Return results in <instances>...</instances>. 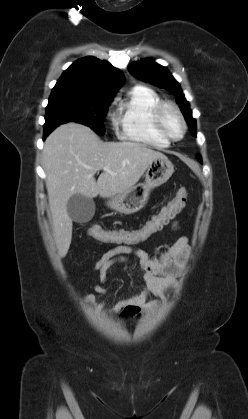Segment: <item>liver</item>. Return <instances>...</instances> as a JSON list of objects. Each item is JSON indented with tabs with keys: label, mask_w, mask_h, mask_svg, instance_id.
I'll use <instances>...</instances> for the list:
<instances>
[{
	"label": "liver",
	"mask_w": 248,
	"mask_h": 419,
	"mask_svg": "<svg viewBox=\"0 0 248 419\" xmlns=\"http://www.w3.org/2000/svg\"><path fill=\"white\" fill-rule=\"evenodd\" d=\"M166 157L145 144L105 143L87 126L63 124L46 139L42 165L53 220V236L58 255L65 257L72 239V219L67 211L74 194L88 198L111 197L133 187L156 158ZM106 171L94 178L98 170Z\"/></svg>",
	"instance_id": "liver-1"
}]
</instances>
